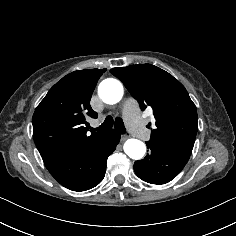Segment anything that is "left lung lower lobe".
I'll return each mask as SVG.
<instances>
[{
  "label": "left lung lower lobe",
  "instance_id": "1",
  "mask_svg": "<svg viewBox=\"0 0 236 236\" xmlns=\"http://www.w3.org/2000/svg\"><path fill=\"white\" fill-rule=\"evenodd\" d=\"M151 152L134 163L137 176L151 184H165L174 179L184 168L190 155L168 145L146 142Z\"/></svg>",
  "mask_w": 236,
  "mask_h": 236
}]
</instances>
